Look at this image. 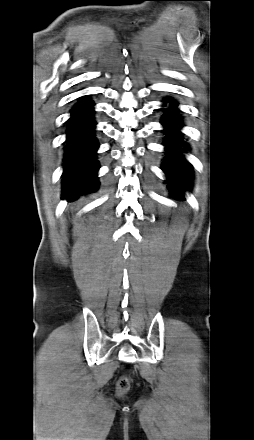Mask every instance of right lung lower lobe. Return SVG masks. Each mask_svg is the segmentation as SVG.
<instances>
[{"instance_id":"98d812e1","label":"right lung lower lobe","mask_w":254,"mask_h":440,"mask_svg":"<svg viewBox=\"0 0 254 440\" xmlns=\"http://www.w3.org/2000/svg\"><path fill=\"white\" fill-rule=\"evenodd\" d=\"M93 112V103L86 96L71 110L64 146V198L76 199L95 191L99 185V162L96 157L99 144L95 137Z\"/></svg>"}]
</instances>
